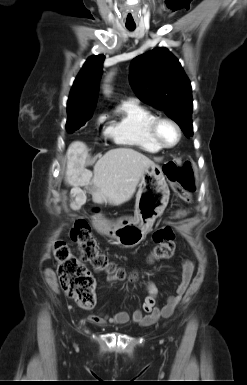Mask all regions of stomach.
I'll return each mask as SVG.
<instances>
[{
	"instance_id": "stomach-1",
	"label": "stomach",
	"mask_w": 247,
	"mask_h": 385,
	"mask_svg": "<svg viewBox=\"0 0 247 385\" xmlns=\"http://www.w3.org/2000/svg\"><path fill=\"white\" fill-rule=\"evenodd\" d=\"M170 190L162 168L156 164L147 167L141 177L136 195L135 215L116 223H103L99 230L125 247L138 245L152 228L154 221L165 210Z\"/></svg>"
}]
</instances>
